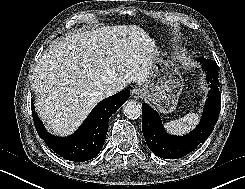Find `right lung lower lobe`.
I'll use <instances>...</instances> for the list:
<instances>
[{"instance_id": "98d812e1", "label": "right lung lower lobe", "mask_w": 245, "mask_h": 189, "mask_svg": "<svg viewBox=\"0 0 245 189\" xmlns=\"http://www.w3.org/2000/svg\"><path fill=\"white\" fill-rule=\"evenodd\" d=\"M130 97L129 90H123L99 102L78 130L68 137H56L49 134L36 115L33 103L32 114L35 127L41 139L66 160L82 162L98 155L102 149L108 131L109 117Z\"/></svg>"}]
</instances>
